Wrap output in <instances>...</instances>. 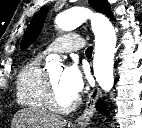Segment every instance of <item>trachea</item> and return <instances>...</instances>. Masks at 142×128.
<instances>
[{
	"instance_id": "obj_1",
	"label": "trachea",
	"mask_w": 142,
	"mask_h": 128,
	"mask_svg": "<svg viewBox=\"0 0 142 128\" xmlns=\"http://www.w3.org/2000/svg\"><path fill=\"white\" fill-rule=\"evenodd\" d=\"M92 51H93V47L90 46L86 49V56H91L92 55Z\"/></svg>"
}]
</instances>
